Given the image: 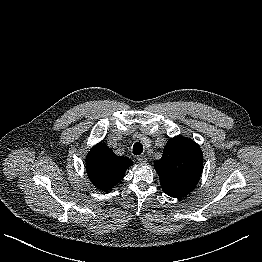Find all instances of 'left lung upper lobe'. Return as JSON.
<instances>
[{"label":"left lung upper lobe","instance_id":"5c2ea615","mask_svg":"<svg viewBox=\"0 0 262 262\" xmlns=\"http://www.w3.org/2000/svg\"><path fill=\"white\" fill-rule=\"evenodd\" d=\"M154 166L163 191L174 198L183 197L194 190L201 177L203 154L194 141L176 136L167 142Z\"/></svg>","mask_w":262,"mask_h":262}]
</instances>
